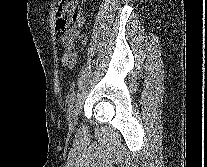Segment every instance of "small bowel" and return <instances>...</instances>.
I'll list each match as a JSON object with an SVG mask.
<instances>
[{
    "instance_id": "small-bowel-1",
    "label": "small bowel",
    "mask_w": 207,
    "mask_h": 167,
    "mask_svg": "<svg viewBox=\"0 0 207 167\" xmlns=\"http://www.w3.org/2000/svg\"><path fill=\"white\" fill-rule=\"evenodd\" d=\"M65 47V52L62 57V64L67 68H73L77 63V53L74 50L73 45H68L62 41Z\"/></svg>"
}]
</instances>
